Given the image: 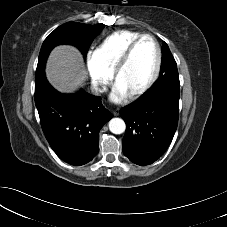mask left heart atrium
Returning a JSON list of instances; mask_svg holds the SVG:
<instances>
[{
	"instance_id": "39dd6f15",
	"label": "left heart atrium",
	"mask_w": 227,
	"mask_h": 227,
	"mask_svg": "<svg viewBox=\"0 0 227 227\" xmlns=\"http://www.w3.org/2000/svg\"><path fill=\"white\" fill-rule=\"evenodd\" d=\"M126 95L127 94L118 85H116L111 95V98L113 101L119 102L123 100L126 97Z\"/></svg>"
}]
</instances>
